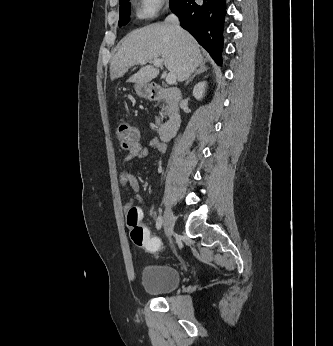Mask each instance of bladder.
I'll list each match as a JSON object with an SVG mask.
<instances>
[{
    "label": "bladder",
    "instance_id": "bladder-1",
    "mask_svg": "<svg viewBox=\"0 0 333 346\" xmlns=\"http://www.w3.org/2000/svg\"><path fill=\"white\" fill-rule=\"evenodd\" d=\"M181 276L178 269L169 265L147 266L142 273L144 289L156 296L167 295L176 290Z\"/></svg>",
    "mask_w": 333,
    "mask_h": 346
}]
</instances>
